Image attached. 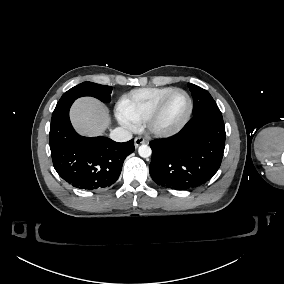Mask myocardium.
<instances>
[{
  "mask_svg": "<svg viewBox=\"0 0 284 284\" xmlns=\"http://www.w3.org/2000/svg\"><path fill=\"white\" fill-rule=\"evenodd\" d=\"M178 91H182L186 94L187 98H188V103H189V107H188V111L187 114L185 116V118L183 119V121L174 129L171 130H167V131H160L154 128V120L156 119V117L161 113L167 99L173 95L175 92ZM193 109H194V103H193V99L191 97V95L189 94V92L183 88H174L173 90L169 91L168 93H166L165 95H163L158 102L154 105V107L148 112V114L146 115L145 119L143 120V126L145 128V130L147 131L148 134H150L151 136L157 137V138H170L173 137L175 135H177L178 133H180L185 126L188 124L192 113H193Z\"/></svg>",
  "mask_w": 284,
  "mask_h": 284,
  "instance_id": "myocardium-1",
  "label": "myocardium"
}]
</instances>
